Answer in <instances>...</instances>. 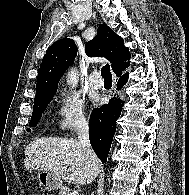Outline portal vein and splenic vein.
Returning <instances> with one entry per match:
<instances>
[{
    "mask_svg": "<svg viewBox=\"0 0 189 195\" xmlns=\"http://www.w3.org/2000/svg\"><path fill=\"white\" fill-rule=\"evenodd\" d=\"M68 195H78V192L77 191H72V192H69Z\"/></svg>",
    "mask_w": 189,
    "mask_h": 195,
    "instance_id": "obj_1",
    "label": "portal vein and splenic vein"
}]
</instances>
